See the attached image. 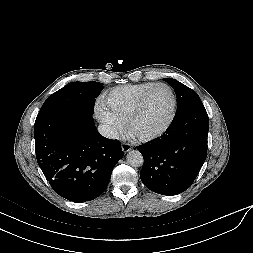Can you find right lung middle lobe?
Returning a JSON list of instances; mask_svg holds the SVG:
<instances>
[{
  "instance_id": "dd1d6c3e",
  "label": "right lung middle lobe",
  "mask_w": 253,
  "mask_h": 253,
  "mask_svg": "<svg viewBox=\"0 0 253 253\" xmlns=\"http://www.w3.org/2000/svg\"><path fill=\"white\" fill-rule=\"evenodd\" d=\"M103 85L100 82H72L53 93L42 105L40 111L63 110L93 114L95 98Z\"/></svg>"
}]
</instances>
